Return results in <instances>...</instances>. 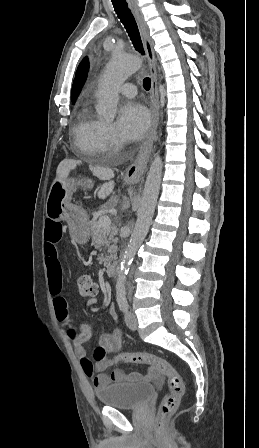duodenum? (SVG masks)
Wrapping results in <instances>:
<instances>
[{
	"instance_id": "obj_1",
	"label": "duodenum",
	"mask_w": 259,
	"mask_h": 448,
	"mask_svg": "<svg viewBox=\"0 0 259 448\" xmlns=\"http://www.w3.org/2000/svg\"><path fill=\"white\" fill-rule=\"evenodd\" d=\"M118 271V263L112 262L108 265L106 273L109 277H115Z\"/></svg>"
}]
</instances>
